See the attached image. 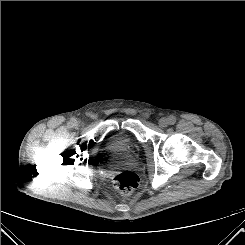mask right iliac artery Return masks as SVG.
<instances>
[{
    "label": "right iliac artery",
    "instance_id": "right-iliac-artery-1",
    "mask_svg": "<svg viewBox=\"0 0 245 245\" xmlns=\"http://www.w3.org/2000/svg\"><path fill=\"white\" fill-rule=\"evenodd\" d=\"M77 121L76 119L72 118L69 122H68V126L69 127H74L76 125Z\"/></svg>",
    "mask_w": 245,
    "mask_h": 245
}]
</instances>
